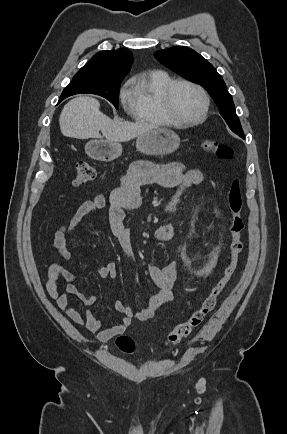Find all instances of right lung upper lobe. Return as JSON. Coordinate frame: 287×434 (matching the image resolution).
<instances>
[{
	"instance_id": "obj_1",
	"label": "right lung upper lobe",
	"mask_w": 287,
	"mask_h": 434,
	"mask_svg": "<svg viewBox=\"0 0 287 434\" xmlns=\"http://www.w3.org/2000/svg\"><path fill=\"white\" fill-rule=\"evenodd\" d=\"M133 63L132 53L126 48L98 52L76 75L111 80L124 79Z\"/></svg>"
}]
</instances>
